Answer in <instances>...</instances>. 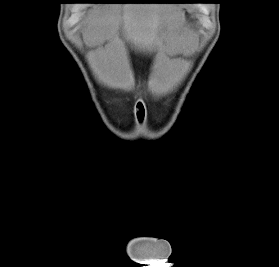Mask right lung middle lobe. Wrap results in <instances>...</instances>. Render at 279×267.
Wrapping results in <instances>:
<instances>
[{
	"label": "right lung middle lobe",
	"instance_id": "obj_1",
	"mask_svg": "<svg viewBox=\"0 0 279 267\" xmlns=\"http://www.w3.org/2000/svg\"><path fill=\"white\" fill-rule=\"evenodd\" d=\"M116 3H128L129 1H136V0H110Z\"/></svg>",
	"mask_w": 279,
	"mask_h": 267
}]
</instances>
